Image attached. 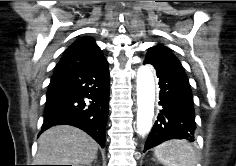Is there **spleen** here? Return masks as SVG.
Masks as SVG:
<instances>
[{
  "mask_svg": "<svg viewBox=\"0 0 236 166\" xmlns=\"http://www.w3.org/2000/svg\"><path fill=\"white\" fill-rule=\"evenodd\" d=\"M154 153L165 166H196L197 163L193 147L184 140L166 141Z\"/></svg>",
  "mask_w": 236,
  "mask_h": 166,
  "instance_id": "3e777b00",
  "label": "spleen"
}]
</instances>
